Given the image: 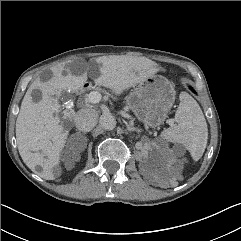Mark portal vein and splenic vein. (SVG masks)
<instances>
[{
  "label": "portal vein and splenic vein",
  "mask_w": 241,
  "mask_h": 241,
  "mask_svg": "<svg viewBox=\"0 0 241 241\" xmlns=\"http://www.w3.org/2000/svg\"><path fill=\"white\" fill-rule=\"evenodd\" d=\"M88 99L91 103H99L101 101V94L97 91H92L89 93ZM122 115L127 118L129 117V115L124 112H122ZM168 124L172 126L173 121L169 120Z\"/></svg>",
  "instance_id": "1"
}]
</instances>
